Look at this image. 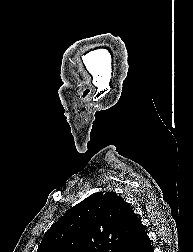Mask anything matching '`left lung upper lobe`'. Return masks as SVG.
Returning a JSON list of instances; mask_svg holds the SVG:
<instances>
[{
  "label": "left lung upper lobe",
  "mask_w": 193,
  "mask_h": 252,
  "mask_svg": "<svg viewBox=\"0 0 193 252\" xmlns=\"http://www.w3.org/2000/svg\"><path fill=\"white\" fill-rule=\"evenodd\" d=\"M141 221L114 192H97L46 232L37 252H123Z\"/></svg>",
  "instance_id": "left-lung-upper-lobe-1"
}]
</instances>
